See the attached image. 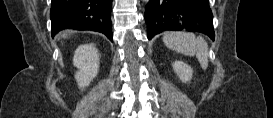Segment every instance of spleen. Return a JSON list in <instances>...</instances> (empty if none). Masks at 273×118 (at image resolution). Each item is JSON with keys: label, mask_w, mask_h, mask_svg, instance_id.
Instances as JSON below:
<instances>
[{"label": "spleen", "mask_w": 273, "mask_h": 118, "mask_svg": "<svg viewBox=\"0 0 273 118\" xmlns=\"http://www.w3.org/2000/svg\"><path fill=\"white\" fill-rule=\"evenodd\" d=\"M167 48L176 52L194 56L196 55L201 67L205 70L208 67V45L202 37H195L194 34L185 32H170L163 37Z\"/></svg>", "instance_id": "1"}]
</instances>
